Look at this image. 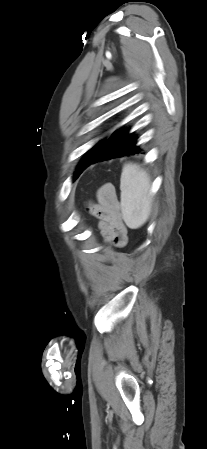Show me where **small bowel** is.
Masks as SVG:
<instances>
[{"label": "small bowel", "mask_w": 207, "mask_h": 449, "mask_svg": "<svg viewBox=\"0 0 207 449\" xmlns=\"http://www.w3.org/2000/svg\"><path fill=\"white\" fill-rule=\"evenodd\" d=\"M97 200V203L88 206V210L98 218V226L104 241L119 247L124 246L127 243V228L122 220L114 188L111 185L100 188Z\"/></svg>", "instance_id": "1"}]
</instances>
